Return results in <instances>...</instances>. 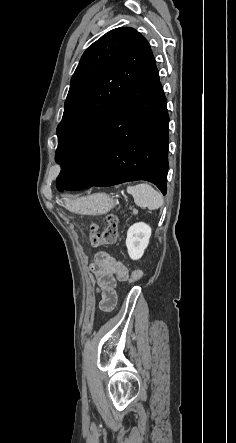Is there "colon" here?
Here are the masks:
<instances>
[{
  "mask_svg": "<svg viewBox=\"0 0 236 443\" xmlns=\"http://www.w3.org/2000/svg\"><path fill=\"white\" fill-rule=\"evenodd\" d=\"M106 227L100 230L96 224L90 228L89 238L92 247H97L101 244L112 245L116 242L118 232V218L115 214H108L105 218ZM143 275L141 270H135L132 273L131 280L137 281Z\"/></svg>",
  "mask_w": 236,
  "mask_h": 443,
  "instance_id": "5ec220e1",
  "label": "colon"
}]
</instances>
